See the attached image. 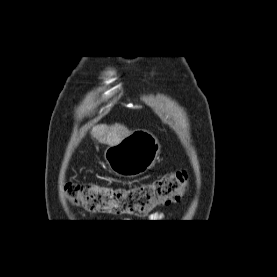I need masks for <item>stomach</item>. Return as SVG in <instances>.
I'll return each mask as SVG.
<instances>
[{"label":"stomach","mask_w":277,"mask_h":277,"mask_svg":"<svg viewBox=\"0 0 277 277\" xmlns=\"http://www.w3.org/2000/svg\"><path fill=\"white\" fill-rule=\"evenodd\" d=\"M161 145L147 130H137L104 152L111 172L124 177H136L152 168L159 157Z\"/></svg>","instance_id":"0dacf381"}]
</instances>
